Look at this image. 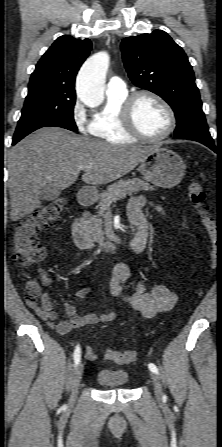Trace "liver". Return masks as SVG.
<instances>
[{"mask_svg":"<svg viewBox=\"0 0 222 447\" xmlns=\"http://www.w3.org/2000/svg\"><path fill=\"white\" fill-rule=\"evenodd\" d=\"M153 146L111 145L78 136L59 127L41 128L17 143L8 154L11 220L40 207L46 185L63 190L77 180L90 185L110 183L132 171Z\"/></svg>","mask_w":222,"mask_h":447,"instance_id":"1","label":"liver"}]
</instances>
